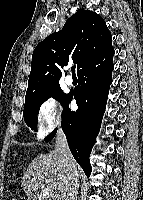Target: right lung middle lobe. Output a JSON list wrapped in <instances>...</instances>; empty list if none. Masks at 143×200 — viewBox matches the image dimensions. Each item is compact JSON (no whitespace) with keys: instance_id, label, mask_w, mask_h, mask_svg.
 <instances>
[{"instance_id":"right-lung-middle-lobe-1","label":"right lung middle lobe","mask_w":143,"mask_h":200,"mask_svg":"<svg viewBox=\"0 0 143 200\" xmlns=\"http://www.w3.org/2000/svg\"><path fill=\"white\" fill-rule=\"evenodd\" d=\"M68 94H64L59 84L50 85L41 88L32 94L25 97V104L23 110V116L26 124L32 129H36L37 114L41 104L53 97L60 102H64Z\"/></svg>"}]
</instances>
